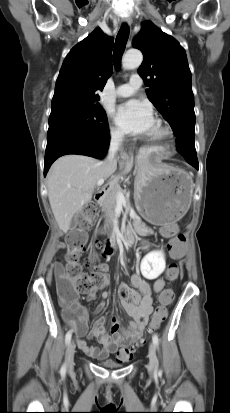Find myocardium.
<instances>
[{"label":"myocardium","instance_id":"1","mask_svg":"<svg viewBox=\"0 0 230 413\" xmlns=\"http://www.w3.org/2000/svg\"><path fill=\"white\" fill-rule=\"evenodd\" d=\"M169 134V130L162 124L160 120H156L155 130L149 136V141L157 143L163 141Z\"/></svg>","mask_w":230,"mask_h":413}]
</instances>
